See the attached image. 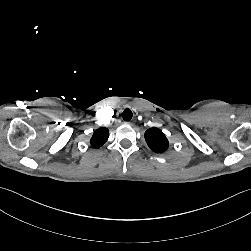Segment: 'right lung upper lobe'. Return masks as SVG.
I'll return each instance as SVG.
<instances>
[{
	"mask_svg": "<svg viewBox=\"0 0 251 251\" xmlns=\"http://www.w3.org/2000/svg\"><path fill=\"white\" fill-rule=\"evenodd\" d=\"M108 136L109 130L107 128L101 127L97 129L90 140L91 146L94 148L101 147L107 141Z\"/></svg>",
	"mask_w": 251,
	"mask_h": 251,
	"instance_id": "1",
	"label": "right lung upper lobe"
}]
</instances>
